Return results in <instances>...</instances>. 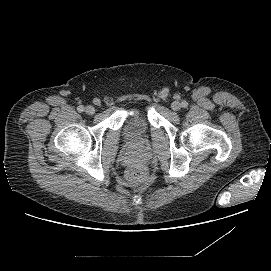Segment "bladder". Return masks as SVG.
Returning <instances> with one entry per match:
<instances>
[{"label": "bladder", "instance_id": "1", "mask_svg": "<svg viewBox=\"0 0 271 271\" xmlns=\"http://www.w3.org/2000/svg\"><path fill=\"white\" fill-rule=\"evenodd\" d=\"M147 115L142 109H134L124 121V134L131 141H138L147 132Z\"/></svg>", "mask_w": 271, "mask_h": 271}]
</instances>
